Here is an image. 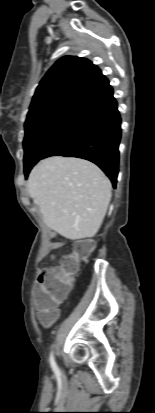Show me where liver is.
Masks as SVG:
<instances>
[{"mask_svg": "<svg viewBox=\"0 0 155 413\" xmlns=\"http://www.w3.org/2000/svg\"><path fill=\"white\" fill-rule=\"evenodd\" d=\"M110 180L95 164L53 156L31 170L28 192L44 223L70 240L94 237L112 196Z\"/></svg>", "mask_w": 155, "mask_h": 413, "instance_id": "6515ba94", "label": "liver"}]
</instances>
